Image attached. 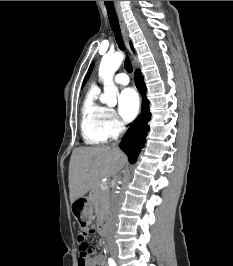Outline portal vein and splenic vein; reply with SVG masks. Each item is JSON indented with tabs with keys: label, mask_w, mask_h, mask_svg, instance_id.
<instances>
[{
	"label": "portal vein and splenic vein",
	"mask_w": 233,
	"mask_h": 266,
	"mask_svg": "<svg viewBox=\"0 0 233 266\" xmlns=\"http://www.w3.org/2000/svg\"><path fill=\"white\" fill-rule=\"evenodd\" d=\"M100 188H101L102 190H106V189L108 188L107 183H103V184H101V185H100Z\"/></svg>",
	"instance_id": "1"
}]
</instances>
